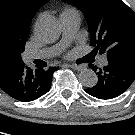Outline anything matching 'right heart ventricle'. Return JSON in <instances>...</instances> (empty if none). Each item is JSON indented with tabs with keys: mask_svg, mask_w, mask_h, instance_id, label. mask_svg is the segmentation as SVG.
I'll return each mask as SVG.
<instances>
[{
	"mask_svg": "<svg viewBox=\"0 0 135 135\" xmlns=\"http://www.w3.org/2000/svg\"><path fill=\"white\" fill-rule=\"evenodd\" d=\"M69 13H78L76 9L74 8H66L65 10H63V12L61 13L62 14H69Z\"/></svg>",
	"mask_w": 135,
	"mask_h": 135,
	"instance_id": "1",
	"label": "right heart ventricle"
}]
</instances>
